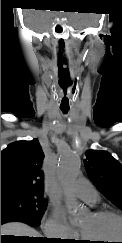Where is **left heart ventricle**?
<instances>
[{"instance_id": "1", "label": "left heart ventricle", "mask_w": 122, "mask_h": 243, "mask_svg": "<svg viewBox=\"0 0 122 243\" xmlns=\"http://www.w3.org/2000/svg\"><path fill=\"white\" fill-rule=\"evenodd\" d=\"M78 227L87 238L97 239L92 243L122 238V222L113 216L94 217L89 214L78 223Z\"/></svg>"}]
</instances>
